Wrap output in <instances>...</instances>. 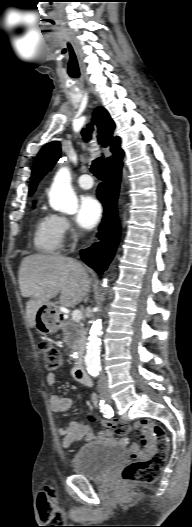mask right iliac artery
Returning <instances> with one entry per match:
<instances>
[{"mask_svg": "<svg viewBox=\"0 0 192 527\" xmlns=\"http://www.w3.org/2000/svg\"><path fill=\"white\" fill-rule=\"evenodd\" d=\"M99 405H100V411L104 414V417L110 418L112 416L111 407L105 404L104 400H100Z\"/></svg>", "mask_w": 192, "mask_h": 527, "instance_id": "82829eb1", "label": "right iliac artery"}]
</instances>
